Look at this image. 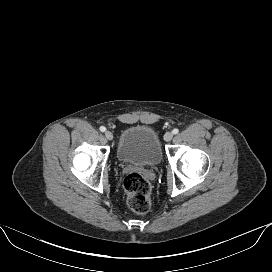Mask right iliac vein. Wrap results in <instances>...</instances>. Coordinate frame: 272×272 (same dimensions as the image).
<instances>
[{
	"label": "right iliac vein",
	"mask_w": 272,
	"mask_h": 272,
	"mask_svg": "<svg viewBox=\"0 0 272 272\" xmlns=\"http://www.w3.org/2000/svg\"><path fill=\"white\" fill-rule=\"evenodd\" d=\"M105 137H106L108 140H112V139H113V134H112V132L106 131V132H105Z\"/></svg>",
	"instance_id": "right-iliac-vein-1"
}]
</instances>
